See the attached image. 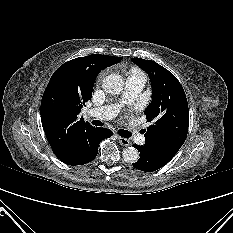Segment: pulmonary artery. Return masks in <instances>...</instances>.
<instances>
[{
  "instance_id": "pulmonary-artery-1",
  "label": "pulmonary artery",
  "mask_w": 233,
  "mask_h": 233,
  "mask_svg": "<svg viewBox=\"0 0 233 233\" xmlns=\"http://www.w3.org/2000/svg\"><path fill=\"white\" fill-rule=\"evenodd\" d=\"M146 83V77L143 74L130 73L126 79L125 89L122 96L121 104H131L142 91ZM120 104L105 105L98 108L90 109L87 115L99 120H109L115 117L119 111ZM131 134L134 140L142 144L145 141L144 136L139 133L135 125H132Z\"/></svg>"
}]
</instances>
